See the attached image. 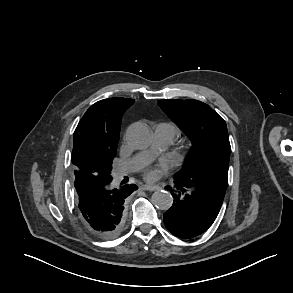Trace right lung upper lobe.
Listing matches in <instances>:
<instances>
[{
    "mask_svg": "<svg viewBox=\"0 0 293 293\" xmlns=\"http://www.w3.org/2000/svg\"><path fill=\"white\" fill-rule=\"evenodd\" d=\"M133 103V99L108 98L87 110L74 132L72 163L75 171L95 173V161L115 157L121 117Z\"/></svg>",
    "mask_w": 293,
    "mask_h": 293,
    "instance_id": "right-lung-upper-lobe-1",
    "label": "right lung upper lobe"
}]
</instances>
